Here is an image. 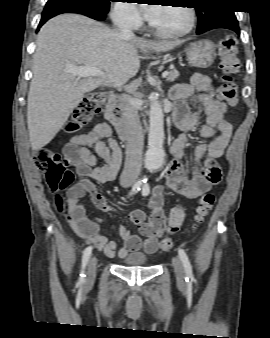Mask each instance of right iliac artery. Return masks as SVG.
Wrapping results in <instances>:
<instances>
[{"label": "right iliac artery", "instance_id": "right-iliac-artery-1", "mask_svg": "<svg viewBox=\"0 0 270 338\" xmlns=\"http://www.w3.org/2000/svg\"><path fill=\"white\" fill-rule=\"evenodd\" d=\"M143 185L142 181H137L134 183V185L132 186L131 192L129 193V195H133L135 193H137L138 191L141 190V187ZM92 252V247L89 246L85 249L84 253H83V258H82V269H81V273H80V277H79V284H83L85 281V268L86 265L88 263V260L90 258Z\"/></svg>", "mask_w": 270, "mask_h": 338}]
</instances>
